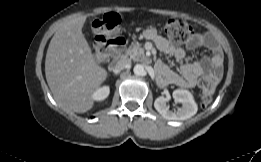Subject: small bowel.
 <instances>
[{
  "mask_svg": "<svg viewBox=\"0 0 261 162\" xmlns=\"http://www.w3.org/2000/svg\"><path fill=\"white\" fill-rule=\"evenodd\" d=\"M146 37L152 40L165 54L173 55L178 60L184 58V49L172 46L169 41L157 30H147ZM201 46L207 47L211 51V55L204 57L201 61L183 64L180 67L181 75L168 69L161 61H157L156 63L158 72L165 76L170 83L186 88L195 87L198 78L202 75L212 76L219 79L222 75L223 64L221 48L211 35H196L189 42L190 49H196Z\"/></svg>",
  "mask_w": 261,
  "mask_h": 162,
  "instance_id": "small-bowel-1",
  "label": "small bowel"
}]
</instances>
